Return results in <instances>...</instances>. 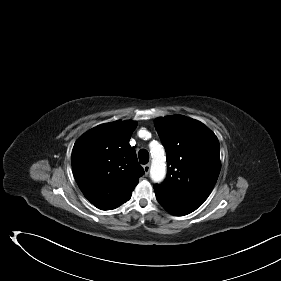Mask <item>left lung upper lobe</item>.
<instances>
[{
    "instance_id": "obj_1",
    "label": "left lung upper lobe",
    "mask_w": 281,
    "mask_h": 281,
    "mask_svg": "<svg viewBox=\"0 0 281 281\" xmlns=\"http://www.w3.org/2000/svg\"><path fill=\"white\" fill-rule=\"evenodd\" d=\"M154 124L168 165L164 182L154 185L155 193H179L202 204L221 168L217 137L200 121L181 115L157 118Z\"/></svg>"
}]
</instances>
